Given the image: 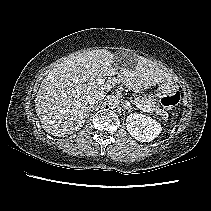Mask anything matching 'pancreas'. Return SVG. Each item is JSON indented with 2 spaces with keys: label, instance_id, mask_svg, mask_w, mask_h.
Returning a JSON list of instances; mask_svg holds the SVG:
<instances>
[{
  "label": "pancreas",
  "instance_id": "1",
  "mask_svg": "<svg viewBox=\"0 0 211 211\" xmlns=\"http://www.w3.org/2000/svg\"><path fill=\"white\" fill-rule=\"evenodd\" d=\"M136 101L142 104L145 108H148L151 111L156 112V114L160 115L162 119L164 120L168 119V113L160 108L159 104H157L155 99L144 97V98H136Z\"/></svg>",
  "mask_w": 211,
  "mask_h": 211
}]
</instances>
